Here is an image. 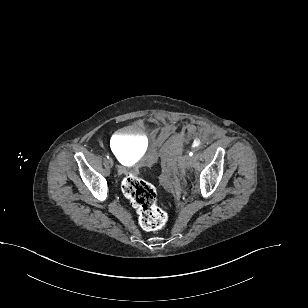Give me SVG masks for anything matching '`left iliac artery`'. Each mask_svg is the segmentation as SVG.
Returning a JSON list of instances; mask_svg holds the SVG:
<instances>
[{"mask_svg":"<svg viewBox=\"0 0 308 308\" xmlns=\"http://www.w3.org/2000/svg\"><path fill=\"white\" fill-rule=\"evenodd\" d=\"M193 154H194V151H193V152L191 151V152L189 153L190 156H193Z\"/></svg>","mask_w":308,"mask_h":308,"instance_id":"1","label":"left iliac artery"}]
</instances>
